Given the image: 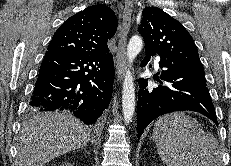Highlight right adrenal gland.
<instances>
[{"label": "right adrenal gland", "instance_id": "2a0ac1e0", "mask_svg": "<svg viewBox=\"0 0 231 166\" xmlns=\"http://www.w3.org/2000/svg\"><path fill=\"white\" fill-rule=\"evenodd\" d=\"M82 150H84L87 154H89V151L86 149V146L81 148Z\"/></svg>", "mask_w": 231, "mask_h": 166}]
</instances>
